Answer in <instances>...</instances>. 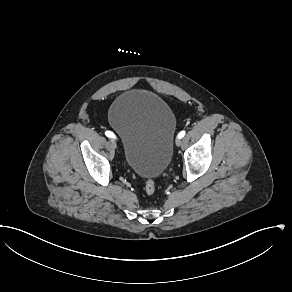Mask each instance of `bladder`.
I'll return each instance as SVG.
<instances>
[{
  "instance_id": "31cf9c89",
  "label": "bladder",
  "mask_w": 292,
  "mask_h": 292,
  "mask_svg": "<svg viewBox=\"0 0 292 292\" xmlns=\"http://www.w3.org/2000/svg\"><path fill=\"white\" fill-rule=\"evenodd\" d=\"M109 122L132 172L154 178L166 170L176 130L175 114L166 101L145 90L123 92L110 107Z\"/></svg>"
}]
</instances>
